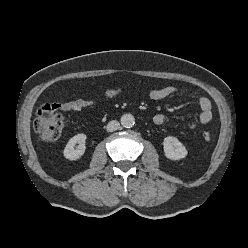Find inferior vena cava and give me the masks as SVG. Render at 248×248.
<instances>
[{
    "mask_svg": "<svg viewBox=\"0 0 248 248\" xmlns=\"http://www.w3.org/2000/svg\"><path fill=\"white\" fill-rule=\"evenodd\" d=\"M119 127H120L119 122L116 121V120H112V121H110V122L107 124L106 130H107L108 132H113V131L119 129Z\"/></svg>",
    "mask_w": 248,
    "mask_h": 248,
    "instance_id": "602c4592",
    "label": "inferior vena cava"
}]
</instances>
